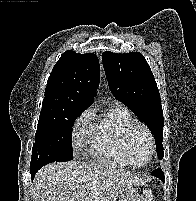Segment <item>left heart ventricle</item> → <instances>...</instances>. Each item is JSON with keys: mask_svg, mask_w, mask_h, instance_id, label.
<instances>
[{"mask_svg": "<svg viewBox=\"0 0 196 201\" xmlns=\"http://www.w3.org/2000/svg\"><path fill=\"white\" fill-rule=\"evenodd\" d=\"M150 154V144L147 135L142 130L134 132L131 138V156L136 165L147 161Z\"/></svg>", "mask_w": 196, "mask_h": 201, "instance_id": "b2bd125f", "label": "left heart ventricle"}]
</instances>
